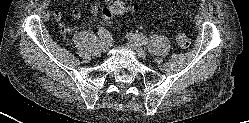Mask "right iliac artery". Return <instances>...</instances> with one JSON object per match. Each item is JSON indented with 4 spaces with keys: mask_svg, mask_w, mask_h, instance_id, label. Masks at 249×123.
Returning a JSON list of instances; mask_svg holds the SVG:
<instances>
[{
    "mask_svg": "<svg viewBox=\"0 0 249 123\" xmlns=\"http://www.w3.org/2000/svg\"><path fill=\"white\" fill-rule=\"evenodd\" d=\"M98 34L100 36L101 41L106 43L110 42L111 40L110 34L105 28L101 27L98 31Z\"/></svg>",
    "mask_w": 249,
    "mask_h": 123,
    "instance_id": "1",
    "label": "right iliac artery"
}]
</instances>
